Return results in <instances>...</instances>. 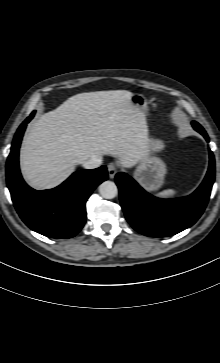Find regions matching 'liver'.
I'll use <instances>...</instances> for the list:
<instances>
[{
	"instance_id": "liver-1",
	"label": "liver",
	"mask_w": 220,
	"mask_h": 363,
	"mask_svg": "<svg viewBox=\"0 0 220 363\" xmlns=\"http://www.w3.org/2000/svg\"><path fill=\"white\" fill-rule=\"evenodd\" d=\"M126 90L80 93L40 116L24 136L23 177L33 188L61 184L77 164L103 155L131 168L147 153L148 129L142 108Z\"/></svg>"
}]
</instances>
